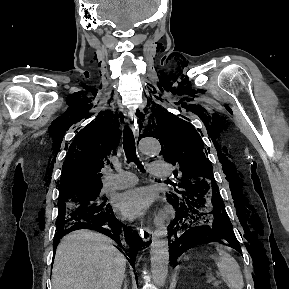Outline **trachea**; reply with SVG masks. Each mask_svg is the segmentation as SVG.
<instances>
[{"label":"trachea","mask_w":289,"mask_h":289,"mask_svg":"<svg viewBox=\"0 0 289 289\" xmlns=\"http://www.w3.org/2000/svg\"><path fill=\"white\" fill-rule=\"evenodd\" d=\"M123 148L127 158V162H135L140 171L144 172V168L136 156L135 139L132 130L126 126L123 133Z\"/></svg>","instance_id":"obj_1"}]
</instances>
